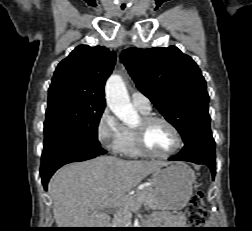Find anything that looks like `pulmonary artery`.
<instances>
[{"mask_svg":"<svg viewBox=\"0 0 252 231\" xmlns=\"http://www.w3.org/2000/svg\"><path fill=\"white\" fill-rule=\"evenodd\" d=\"M133 105L141 111L150 112L151 104L150 100L138 91H134L131 95Z\"/></svg>","mask_w":252,"mask_h":231,"instance_id":"1","label":"pulmonary artery"}]
</instances>
